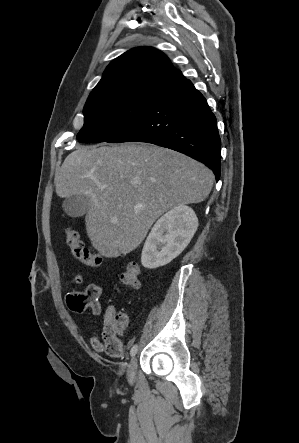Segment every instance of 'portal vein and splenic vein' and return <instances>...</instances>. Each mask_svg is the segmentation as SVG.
<instances>
[{
  "label": "portal vein and splenic vein",
  "mask_w": 299,
  "mask_h": 443,
  "mask_svg": "<svg viewBox=\"0 0 299 443\" xmlns=\"http://www.w3.org/2000/svg\"><path fill=\"white\" fill-rule=\"evenodd\" d=\"M135 207L141 209V208H143L144 206H143L142 204H139V205H136Z\"/></svg>",
  "instance_id": "portal-vein-and-splenic-vein-1"
}]
</instances>
